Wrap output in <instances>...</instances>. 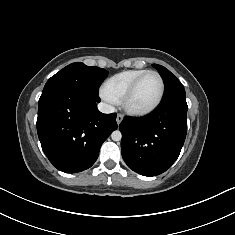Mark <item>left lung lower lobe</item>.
<instances>
[{
	"instance_id": "obj_1",
	"label": "left lung lower lobe",
	"mask_w": 235,
	"mask_h": 235,
	"mask_svg": "<svg viewBox=\"0 0 235 235\" xmlns=\"http://www.w3.org/2000/svg\"><path fill=\"white\" fill-rule=\"evenodd\" d=\"M185 98L162 101L149 115L125 117L119 129L125 163L144 176L165 172L178 158L187 132Z\"/></svg>"
}]
</instances>
